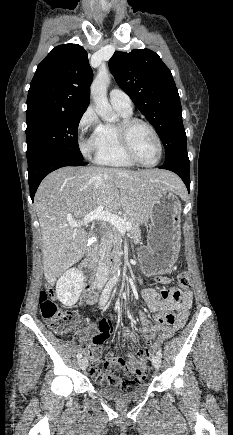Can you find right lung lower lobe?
<instances>
[{
  "instance_id": "obj_1",
  "label": "right lung lower lobe",
  "mask_w": 233,
  "mask_h": 435,
  "mask_svg": "<svg viewBox=\"0 0 233 435\" xmlns=\"http://www.w3.org/2000/svg\"><path fill=\"white\" fill-rule=\"evenodd\" d=\"M87 162L60 153H44L28 160V182L33 201L36 190L43 178L50 172L64 166H83Z\"/></svg>"
}]
</instances>
